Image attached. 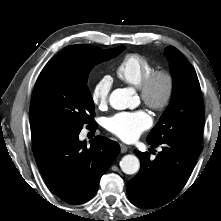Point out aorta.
<instances>
[{"mask_svg":"<svg viewBox=\"0 0 221 221\" xmlns=\"http://www.w3.org/2000/svg\"><path fill=\"white\" fill-rule=\"evenodd\" d=\"M133 90L130 88L115 89L109 97V103L116 110L129 108L133 102ZM121 170L125 174H135L140 168V161L134 155H125L120 161Z\"/></svg>","mask_w":221,"mask_h":221,"instance_id":"obj_1","label":"aorta"}]
</instances>
